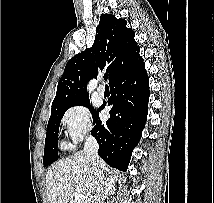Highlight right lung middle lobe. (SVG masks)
I'll return each mask as SVG.
<instances>
[{
	"instance_id": "dd1d6c3e",
	"label": "right lung middle lobe",
	"mask_w": 214,
	"mask_h": 203,
	"mask_svg": "<svg viewBox=\"0 0 214 203\" xmlns=\"http://www.w3.org/2000/svg\"><path fill=\"white\" fill-rule=\"evenodd\" d=\"M73 106H85L89 108L93 116V120L95 119L98 112V110L96 111L90 106L89 98L78 100L76 102L63 106L51 112V116L47 125V133L45 138V149H44V157H43L44 166L50 165L51 163H53L58 159L57 146H58V131H59L60 121L64 113L67 111V109Z\"/></svg>"
}]
</instances>
